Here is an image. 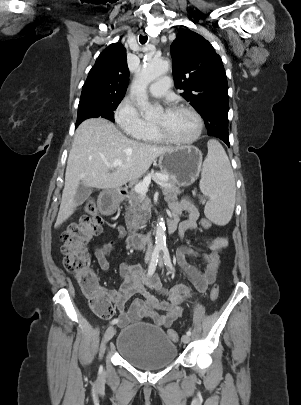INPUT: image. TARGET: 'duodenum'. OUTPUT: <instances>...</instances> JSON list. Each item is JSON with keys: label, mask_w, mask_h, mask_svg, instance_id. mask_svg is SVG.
<instances>
[{"label": "duodenum", "mask_w": 301, "mask_h": 405, "mask_svg": "<svg viewBox=\"0 0 301 405\" xmlns=\"http://www.w3.org/2000/svg\"><path fill=\"white\" fill-rule=\"evenodd\" d=\"M126 194L124 189L121 190H104L103 194L98 195L97 206L99 212L103 213L105 219H110L112 213L116 212L118 206H122L123 198ZM167 232L173 233L177 228V222L170 219L166 225ZM149 241V235L145 233L131 234L128 237V244L137 250L143 249Z\"/></svg>", "instance_id": "duodenum-1"}]
</instances>
